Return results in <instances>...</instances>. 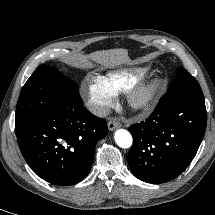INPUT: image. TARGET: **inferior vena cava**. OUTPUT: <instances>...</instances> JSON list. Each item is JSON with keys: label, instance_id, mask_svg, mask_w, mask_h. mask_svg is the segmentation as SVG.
I'll return each mask as SVG.
<instances>
[{"label": "inferior vena cava", "instance_id": "602c4592", "mask_svg": "<svg viewBox=\"0 0 215 215\" xmlns=\"http://www.w3.org/2000/svg\"><path fill=\"white\" fill-rule=\"evenodd\" d=\"M89 110L99 117H105L109 114V109L106 106L90 105Z\"/></svg>", "mask_w": 215, "mask_h": 215}]
</instances>
